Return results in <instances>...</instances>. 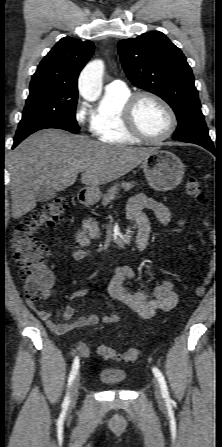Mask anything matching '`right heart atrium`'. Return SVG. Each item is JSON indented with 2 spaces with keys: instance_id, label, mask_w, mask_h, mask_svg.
<instances>
[{
  "instance_id": "obj_1",
  "label": "right heart atrium",
  "mask_w": 222,
  "mask_h": 447,
  "mask_svg": "<svg viewBox=\"0 0 222 447\" xmlns=\"http://www.w3.org/2000/svg\"><path fill=\"white\" fill-rule=\"evenodd\" d=\"M75 118H76V121H77L79 124H81V123L83 122V120H84V114H83V111H82L81 109L78 108V109L76 110Z\"/></svg>"
}]
</instances>
